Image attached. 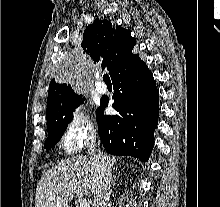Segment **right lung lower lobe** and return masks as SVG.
I'll return each instance as SVG.
<instances>
[{"mask_svg":"<svg viewBox=\"0 0 220 207\" xmlns=\"http://www.w3.org/2000/svg\"><path fill=\"white\" fill-rule=\"evenodd\" d=\"M114 85L112 107L117 115L106 116L103 99L96 111L100 140L108 153L149 159L158 124L159 93L153 78L138 54L124 60L112 75Z\"/></svg>","mask_w":220,"mask_h":207,"instance_id":"98d812e1","label":"right lung lower lobe"}]
</instances>
